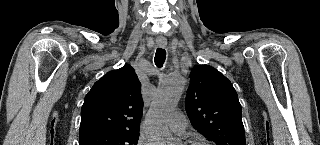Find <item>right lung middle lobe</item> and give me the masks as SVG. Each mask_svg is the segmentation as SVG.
<instances>
[{
	"label": "right lung middle lobe",
	"mask_w": 320,
	"mask_h": 145,
	"mask_svg": "<svg viewBox=\"0 0 320 145\" xmlns=\"http://www.w3.org/2000/svg\"><path fill=\"white\" fill-rule=\"evenodd\" d=\"M139 131L97 132L79 137V145H137Z\"/></svg>",
	"instance_id": "obj_1"
}]
</instances>
